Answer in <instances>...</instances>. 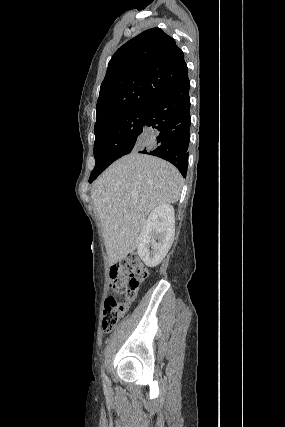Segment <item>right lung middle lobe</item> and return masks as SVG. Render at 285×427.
I'll return each instance as SVG.
<instances>
[{"label": "right lung middle lobe", "instance_id": "obj_1", "mask_svg": "<svg viewBox=\"0 0 285 427\" xmlns=\"http://www.w3.org/2000/svg\"><path fill=\"white\" fill-rule=\"evenodd\" d=\"M146 112V106L129 110L94 127L96 164L89 180L98 172H103L112 162L137 148Z\"/></svg>", "mask_w": 285, "mask_h": 427}]
</instances>
